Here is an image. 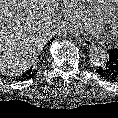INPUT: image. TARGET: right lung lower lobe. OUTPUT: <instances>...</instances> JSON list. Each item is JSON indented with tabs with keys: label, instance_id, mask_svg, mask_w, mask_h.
<instances>
[{
	"label": "right lung lower lobe",
	"instance_id": "1",
	"mask_svg": "<svg viewBox=\"0 0 118 118\" xmlns=\"http://www.w3.org/2000/svg\"><path fill=\"white\" fill-rule=\"evenodd\" d=\"M41 62H43V60L38 61V64H41ZM36 73H37L36 69L30 68L25 74H23L22 77H19L18 80L30 79L31 77L35 76ZM14 80H15V78H14ZM16 80H17V78H16Z\"/></svg>",
	"mask_w": 118,
	"mask_h": 118
}]
</instances>
